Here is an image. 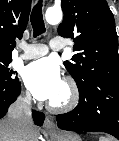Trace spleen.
Here are the masks:
<instances>
[{
	"instance_id": "spleen-1",
	"label": "spleen",
	"mask_w": 119,
	"mask_h": 141,
	"mask_svg": "<svg viewBox=\"0 0 119 141\" xmlns=\"http://www.w3.org/2000/svg\"><path fill=\"white\" fill-rule=\"evenodd\" d=\"M99 141H109V140L104 137H101Z\"/></svg>"
}]
</instances>
